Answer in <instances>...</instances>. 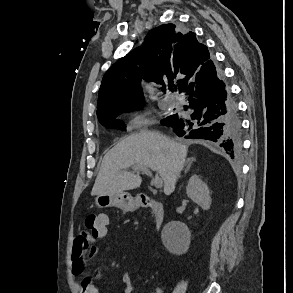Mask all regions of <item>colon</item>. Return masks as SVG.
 I'll return each mask as SVG.
<instances>
[{
	"label": "colon",
	"mask_w": 293,
	"mask_h": 293,
	"mask_svg": "<svg viewBox=\"0 0 293 293\" xmlns=\"http://www.w3.org/2000/svg\"><path fill=\"white\" fill-rule=\"evenodd\" d=\"M108 218L103 214H88L85 218V228L94 236L102 234L107 226Z\"/></svg>",
	"instance_id": "colon-1"
}]
</instances>
